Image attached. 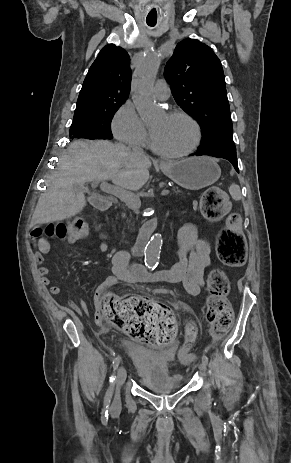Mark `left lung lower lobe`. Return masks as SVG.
<instances>
[{"instance_id":"1","label":"left lung lower lobe","mask_w":291,"mask_h":463,"mask_svg":"<svg viewBox=\"0 0 291 463\" xmlns=\"http://www.w3.org/2000/svg\"><path fill=\"white\" fill-rule=\"evenodd\" d=\"M194 155L201 156V155H209L213 157H218V158H224L227 159L232 163L234 166L235 170L239 172L238 169V162H237V156L236 153H231V152H218V151H204V150H199L194 153Z\"/></svg>"}]
</instances>
